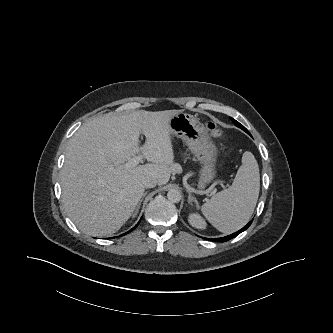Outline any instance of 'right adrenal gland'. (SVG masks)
I'll return each mask as SVG.
<instances>
[{
  "mask_svg": "<svg viewBox=\"0 0 333 333\" xmlns=\"http://www.w3.org/2000/svg\"><path fill=\"white\" fill-rule=\"evenodd\" d=\"M146 194H147V192H144V194H143L142 198L140 199V201H139V203H138V205H137V207H136V209H135V212H134V214H133V217H135V216H136V214L138 213V211H139V208H140V205H141V203H142V201H143L144 197L146 196Z\"/></svg>",
  "mask_w": 333,
  "mask_h": 333,
  "instance_id": "2a0ac1e0",
  "label": "right adrenal gland"
}]
</instances>
